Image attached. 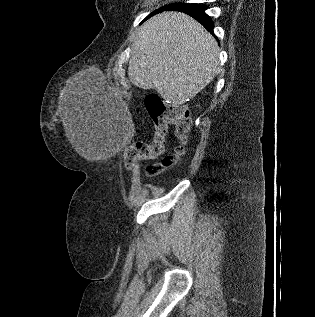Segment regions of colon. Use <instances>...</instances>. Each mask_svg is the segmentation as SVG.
Segmentation results:
<instances>
[{"label":"colon","mask_w":315,"mask_h":317,"mask_svg":"<svg viewBox=\"0 0 315 317\" xmlns=\"http://www.w3.org/2000/svg\"><path fill=\"white\" fill-rule=\"evenodd\" d=\"M147 112L153 122L154 132L150 142H136L127 148L125 161L133 165L140 160L152 159L164 152L166 136L169 128L174 127L175 136L180 141L175 155L167 156L161 162L148 166L149 175H157L174 165L184 151L191 129V117L182 106H168L157 96H149L145 100Z\"/></svg>","instance_id":"5ec220e1"}]
</instances>
